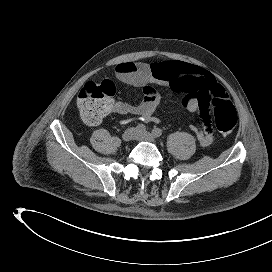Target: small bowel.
I'll use <instances>...</instances> for the list:
<instances>
[{"label":"small bowel","mask_w":272,"mask_h":272,"mask_svg":"<svg viewBox=\"0 0 272 272\" xmlns=\"http://www.w3.org/2000/svg\"><path fill=\"white\" fill-rule=\"evenodd\" d=\"M116 77L123 83L141 87L143 99L138 104L113 101L109 113L131 114L146 122L157 123L154 115L160 96L153 84H159L183 94L182 104L190 112L199 111L198 122L203 128L191 126L201 146L213 141L214 111L212 96L225 93L214 75L196 65L182 61H163L148 64L144 62H122L115 67Z\"/></svg>","instance_id":"1"}]
</instances>
